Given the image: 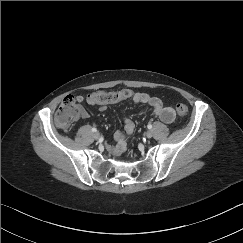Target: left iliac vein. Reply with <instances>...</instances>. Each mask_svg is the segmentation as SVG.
I'll list each match as a JSON object with an SVG mask.
<instances>
[{"mask_svg":"<svg viewBox=\"0 0 243 243\" xmlns=\"http://www.w3.org/2000/svg\"><path fill=\"white\" fill-rule=\"evenodd\" d=\"M145 135L147 138H151L153 136V133L151 131H147Z\"/></svg>","mask_w":243,"mask_h":243,"instance_id":"4c4485c4","label":"left iliac vein"}]
</instances>
